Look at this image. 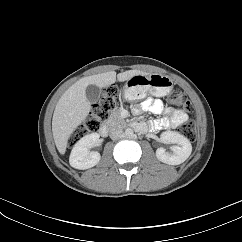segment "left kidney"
<instances>
[{"label": "left kidney", "mask_w": 242, "mask_h": 242, "mask_svg": "<svg viewBox=\"0 0 242 242\" xmlns=\"http://www.w3.org/2000/svg\"><path fill=\"white\" fill-rule=\"evenodd\" d=\"M160 139L166 144H177L170 147L172 152L164 148L156 150V157L163 163L169 165H179L183 163L192 152L190 141L183 135L175 131H165L160 135Z\"/></svg>", "instance_id": "left-kidney-1"}]
</instances>
